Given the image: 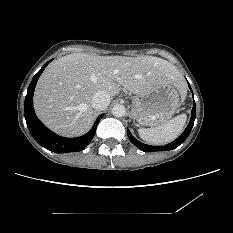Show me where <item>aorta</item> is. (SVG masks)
Instances as JSON below:
<instances>
[{
	"label": "aorta",
	"mask_w": 233,
	"mask_h": 233,
	"mask_svg": "<svg viewBox=\"0 0 233 233\" xmlns=\"http://www.w3.org/2000/svg\"><path fill=\"white\" fill-rule=\"evenodd\" d=\"M126 113V108L124 105L122 104H116L115 106H113L112 108V114L115 117H123Z\"/></svg>",
	"instance_id": "obj_1"
}]
</instances>
